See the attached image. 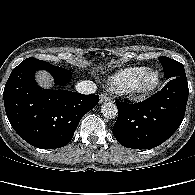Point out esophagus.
Here are the masks:
<instances>
[{
  "mask_svg": "<svg viewBox=\"0 0 195 195\" xmlns=\"http://www.w3.org/2000/svg\"><path fill=\"white\" fill-rule=\"evenodd\" d=\"M111 98L107 94H101L99 102L100 103H105V102H110Z\"/></svg>",
  "mask_w": 195,
  "mask_h": 195,
  "instance_id": "1",
  "label": "esophagus"
}]
</instances>
